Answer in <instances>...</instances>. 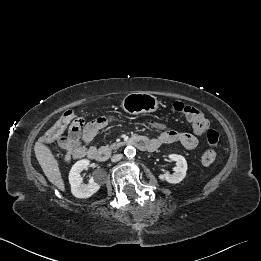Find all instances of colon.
<instances>
[{"instance_id":"obj_1","label":"colon","mask_w":261,"mask_h":261,"mask_svg":"<svg viewBox=\"0 0 261 261\" xmlns=\"http://www.w3.org/2000/svg\"><path fill=\"white\" fill-rule=\"evenodd\" d=\"M173 108L175 111L185 116L195 133L206 134L209 148L203 153L201 161L206 166L211 165L216 160L217 156L216 147L220 138L219 132L210 128L208 119L198 108L184 105L181 102H175ZM83 127L84 121L75 112L67 111L53 127L45 132L41 140L46 143L56 140L60 143H64L68 140H77ZM67 128L69 129V136L64 138L62 135Z\"/></svg>"}]
</instances>
